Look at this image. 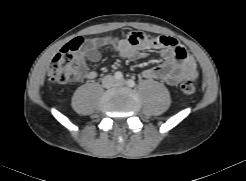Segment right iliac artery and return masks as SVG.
<instances>
[{
  "label": "right iliac artery",
  "instance_id": "82829eb1",
  "mask_svg": "<svg viewBox=\"0 0 246 181\" xmlns=\"http://www.w3.org/2000/svg\"><path fill=\"white\" fill-rule=\"evenodd\" d=\"M115 79L117 80H122L123 79V75L121 72H116L115 75H114Z\"/></svg>",
  "mask_w": 246,
  "mask_h": 181
}]
</instances>
